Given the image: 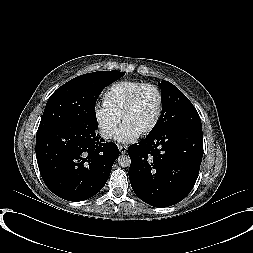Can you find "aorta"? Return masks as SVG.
<instances>
[{
  "label": "aorta",
  "instance_id": "aorta-1",
  "mask_svg": "<svg viewBox=\"0 0 253 253\" xmlns=\"http://www.w3.org/2000/svg\"><path fill=\"white\" fill-rule=\"evenodd\" d=\"M117 162L121 167H129L131 164V159L128 155L123 154L117 158Z\"/></svg>",
  "mask_w": 253,
  "mask_h": 253
}]
</instances>
